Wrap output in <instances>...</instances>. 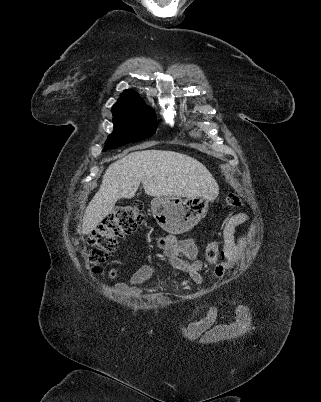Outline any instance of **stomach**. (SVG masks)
Instances as JSON below:
<instances>
[{
	"label": "stomach",
	"instance_id": "1",
	"mask_svg": "<svg viewBox=\"0 0 321 402\" xmlns=\"http://www.w3.org/2000/svg\"><path fill=\"white\" fill-rule=\"evenodd\" d=\"M210 197L182 199L177 196H157L151 201L153 217L166 232L183 234L192 229L206 214Z\"/></svg>",
	"mask_w": 321,
	"mask_h": 402
}]
</instances>
